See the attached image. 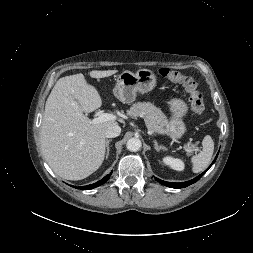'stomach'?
Instances as JSON below:
<instances>
[{"instance_id": "stomach-1", "label": "stomach", "mask_w": 253, "mask_h": 253, "mask_svg": "<svg viewBox=\"0 0 253 253\" xmlns=\"http://www.w3.org/2000/svg\"><path fill=\"white\" fill-rule=\"evenodd\" d=\"M157 84L156 75L149 69H139L136 73L122 72L113 89L115 97L123 103H132L136 93L151 92ZM171 119L167 126L166 134L172 138H181L186 131L183 118L188 113V105L181 98H171L168 102Z\"/></svg>"}]
</instances>
